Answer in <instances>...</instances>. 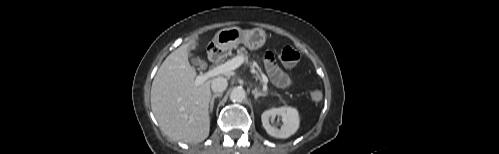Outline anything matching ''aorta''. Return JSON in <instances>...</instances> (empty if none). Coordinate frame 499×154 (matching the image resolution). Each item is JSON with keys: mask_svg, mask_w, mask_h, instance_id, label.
<instances>
[{"mask_svg": "<svg viewBox=\"0 0 499 154\" xmlns=\"http://www.w3.org/2000/svg\"><path fill=\"white\" fill-rule=\"evenodd\" d=\"M246 97L245 90L242 88H234L230 93V100L232 102H242Z\"/></svg>", "mask_w": 499, "mask_h": 154, "instance_id": "aorta-1", "label": "aorta"}]
</instances>
